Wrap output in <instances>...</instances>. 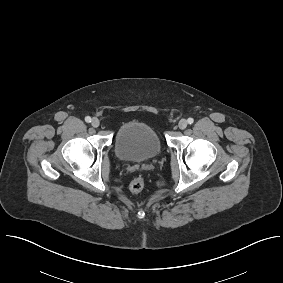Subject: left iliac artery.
Instances as JSON below:
<instances>
[{"mask_svg": "<svg viewBox=\"0 0 283 283\" xmlns=\"http://www.w3.org/2000/svg\"><path fill=\"white\" fill-rule=\"evenodd\" d=\"M187 122H188V124H192L194 122V119L193 118H188Z\"/></svg>", "mask_w": 283, "mask_h": 283, "instance_id": "left-iliac-artery-1", "label": "left iliac artery"}]
</instances>
